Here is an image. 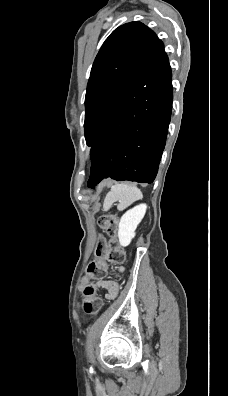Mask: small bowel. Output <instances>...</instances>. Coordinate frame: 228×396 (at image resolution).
Returning <instances> with one entry per match:
<instances>
[{
    "label": "small bowel",
    "instance_id": "c3829d8e",
    "mask_svg": "<svg viewBox=\"0 0 228 396\" xmlns=\"http://www.w3.org/2000/svg\"><path fill=\"white\" fill-rule=\"evenodd\" d=\"M98 286L107 291L106 297L108 299H114L119 292V286L115 281H99Z\"/></svg>",
    "mask_w": 228,
    "mask_h": 396
}]
</instances>
